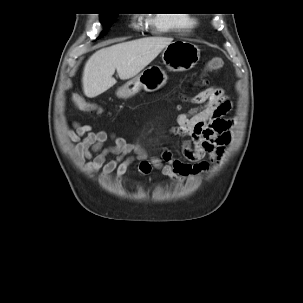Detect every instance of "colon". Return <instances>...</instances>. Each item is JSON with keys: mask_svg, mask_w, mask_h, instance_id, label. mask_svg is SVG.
<instances>
[{"mask_svg": "<svg viewBox=\"0 0 303 303\" xmlns=\"http://www.w3.org/2000/svg\"><path fill=\"white\" fill-rule=\"evenodd\" d=\"M224 65V62L221 58H212L210 59L206 65H205V72H211L213 70H218L221 69ZM74 105L83 111H95L99 110V106L91 103L89 100L81 97V96H76L73 99Z\"/></svg>", "mask_w": 303, "mask_h": 303, "instance_id": "5ec220e1", "label": "colon"}]
</instances>
